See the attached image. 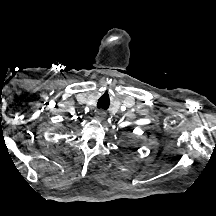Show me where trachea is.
<instances>
[{
  "mask_svg": "<svg viewBox=\"0 0 216 216\" xmlns=\"http://www.w3.org/2000/svg\"><path fill=\"white\" fill-rule=\"evenodd\" d=\"M110 101L104 97H101L97 103V108L107 110L109 107Z\"/></svg>",
  "mask_w": 216,
  "mask_h": 216,
  "instance_id": "1",
  "label": "trachea"
}]
</instances>
